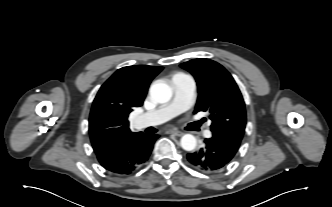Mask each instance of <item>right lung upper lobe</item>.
Returning a JSON list of instances; mask_svg holds the SVG:
<instances>
[{
	"instance_id": "obj_1",
	"label": "right lung upper lobe",
	"mask_w": 332,
	"mask_h": 207,
	"mask_svg": "<svg viewBox=\"0 0 332 207\" xmlns=\"http://www.w3.org/2000/svg\"><path fill=\"white\" fill-rule=\"evenodd\" d=\"M162 69L147 65L123 67L101 86L89 119L95 153L114 148L133 134L128 115L134 107L143 104L150 82Z\"/></svg>"
}]
</instances>
